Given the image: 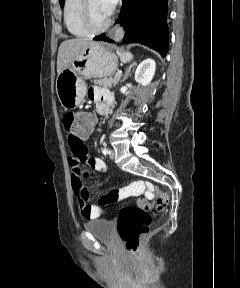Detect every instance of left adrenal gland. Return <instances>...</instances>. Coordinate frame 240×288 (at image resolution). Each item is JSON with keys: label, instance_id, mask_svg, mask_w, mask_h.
Segmentation results:
<instances>
[{"label": "left adrenal gland", "instance_id": "a2214340", "mask_svg": "<svg viewBox=\"0 0 240 288\" xmlns=\"http://www.w3.org/2000/svg\"><path fill=\"white\" fill-rule=\"evenodd\" d=\"M134 65H136V62H133V63H131V64L129 65V67L127 68V70H126V72H125V75H124L122 81H124L125 79H127V77L129 76V73H130V71H131V68H132Z\"/></svg>", "mask_w": 240, "mask_h": 288}]
</instances>
